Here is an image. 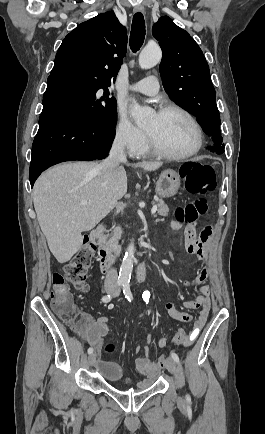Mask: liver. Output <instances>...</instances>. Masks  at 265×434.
<instances>
[{"label":"liver","mask_w":265,"mask_h":434,"mask_svg":"<svg viewBox=\"0 0 265 434\" xmlns=\"http://www.w3.org/2000/svg\"><path fill=\"white\" fill-rule=\"evenodd\" d=\"M96 162L59 164L44 172L33 188V204L48 248L59 264L69 262L83 244L81 232H89L116 208L127 192L124 168L111 170L103 180ZM154 172L162 162L136 164ZM81 200H87L86 206Z\"/></svg>","instance_id":"1"}]
</instances>
